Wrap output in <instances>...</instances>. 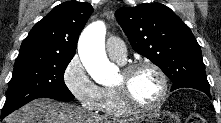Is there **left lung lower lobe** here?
Here are the masks:
<instances>
[{
	"mask_svg": "<svg viewBox=\"0 0 221 123\" xmlns=\"http://www.w3.org/2000/svg\"><path fill=\"white\" fill-rule=\"evenodd\" d=\"M203 92L206 93L211 98L210 91H203Z\"/></svg>",
	"mask_w": 221,
	"mask_h": 123,
	"instance_id": "left-lung-lower-lobe-1",
	"label": "left lung lower lobe"
}]
</instances>
